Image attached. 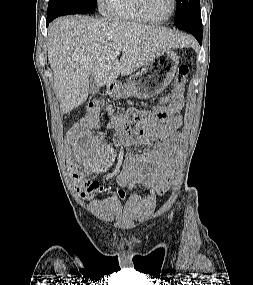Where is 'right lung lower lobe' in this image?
Here are the masks:
<instances>
[{"instance_id":"obj_1","label":"right lung lower lobe","mask_w":253,"mask_h":285,"mask_svg":"<svg viewBox=\"0 0 253 285\" xmlns=\"http://www.w3.org/2000/svg\"><path fill=\"white\" fill-rule=\"evenodd\" d=\"M53 19H54L53 17H48V16H47V25H48Z\"/></svg>"}]
</instances>
